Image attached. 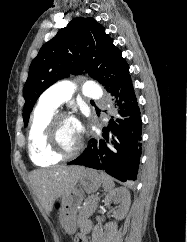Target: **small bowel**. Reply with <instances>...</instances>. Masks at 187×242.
Wrapping results in <instances>:
<instances>
[{"mask_svg":"<svg viewBox=\"0 0 187 242\" xmlns=\"http://www.w3.org/2000/svg\"><path fill=\"white\" fill-rule=\"evenodd\" d=\"M80 232L77 236V242H88L87 235L92 229V223L89 220H83L79 224Z\"/></svg>","mask_w":187,"mask_h":242,"instance_id":"obj_1","label":"small bowel"}]
</instances>
